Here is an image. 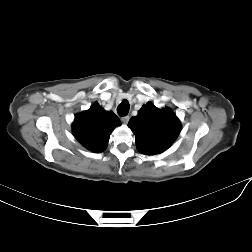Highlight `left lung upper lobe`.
I'll return each instance as SVG.
<instances>
[{"label":"left lung upper lobe","instance_id":"1","mask_svg":"<svg viewBox=\"0 0 252 252\" xmlns=\"http://www.w3.org/2000/svg\"><path fill=\"white\" fill-rule=\"evenodd\" d=\"M128 126L135 134L138 151L145 155L164 152L181 131V123L172 111L159 109L151 102L142 106Z\"/></svg>","mask_w":252,"mask_h":252}]
</instances>
